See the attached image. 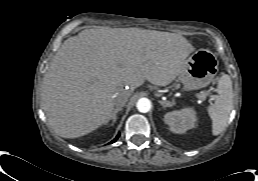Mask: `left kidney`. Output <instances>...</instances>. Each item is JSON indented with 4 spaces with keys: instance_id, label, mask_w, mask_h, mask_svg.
Here are the masks:
<instances>
[{
    "instance_id": "5707ae66",
    "label": "left kidney",
    "mask_w": 258,
    "mask_h": 181,
    "mask_svg": "<svg viewBox=\"0 0 258 181\" xmlns=\"http://www.w3.org/2000/svg\"><path fill=\"white\" fill-rule=\"evenodd\" d=\"M164 122L173 133L182 134L197 125L196 113L192 108L174 110L164 115Z\"/></svg>"
}]
</instances>
